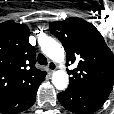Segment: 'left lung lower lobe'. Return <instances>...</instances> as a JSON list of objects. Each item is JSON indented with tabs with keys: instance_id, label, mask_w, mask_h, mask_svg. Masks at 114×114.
Wrapping results in <instances>:
<instances>
[{
	"instance_id": "left-lung-lower-lobe-1",
	"label": "left lung lower lobe",
	"mask_w": 114,
	"mask_h": 114,
	"mask_svg": "<svg viewBox=\"0 0 114 114\" xmlns=\"http://www.w3.org/2000/svg\"><path fill=\"white\" fill-rule=\"evenodd\" d=\"M108 96L68 87L58 94L59 102L75 114H92L107 100Z\"/></svg>"
}]
</instances>
